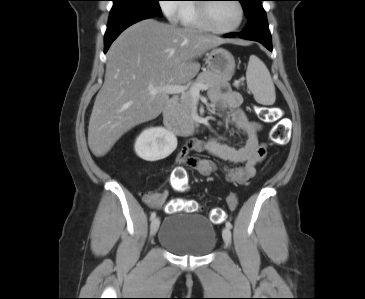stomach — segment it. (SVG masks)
<instances>
[{
	"mask_svg": "<svg viewBox=\"0 0 365 299\" xmlns=\"http://www.w3.org/2000/svg\"><path fill=\"white\" fill-rule=\"evenodd\" d=\"M206 62L211 72L230 78L235 70L233 55L223 48H213L206 54Z\"/></svg>",
	"mask_w": 365,
	"mask_h": 299,
	"instance_id": "stomach-1",
	"label": "stomach"
}]
</instances>
